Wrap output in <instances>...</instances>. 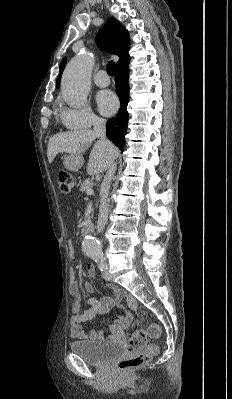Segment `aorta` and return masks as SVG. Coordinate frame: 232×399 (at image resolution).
Masks as SVG:
<instances>
[{
  "mask_svg": "<svg viewBox=\"0 0 232 399\" xmlns=\"http://www.w3.org/2000/svg\"><path fill=\"white\" fill-rule=\"evenodd\" d=\"M93 65L94 59L89 52H82L67 64L62 76L61 93L69 106L81 107L86 102ZM82 251L89 257H98L102 254V247L95 237L88 236L82 242Z\"/></svg>",
  "mask_w": 232,
  "mask_h": 399,
  "instance_id": "obj_1",
  "label": "aorta"
}]
</instances>
